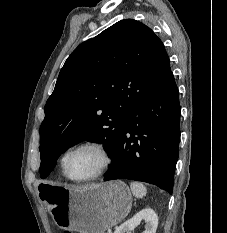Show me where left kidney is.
<instances>
[{"label": "left kidney", "mask_w": 227, "mask_h": 233, "mask_svg": "<svg viewBox=\"0 0 227 233\" xmlns=\"http://www.w3.org/2000/svg\"><path fill=\"white\" fill-rule=\"evenodd\" d=\"M144 220L145 231L143 233H155L158 226V216L151 208H145L135 214L131 219L119 226L114 233H130L141 221Z\"/></svg>", "instance_id": "1"}]
</instances>
